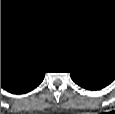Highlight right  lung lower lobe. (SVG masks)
<instances>
[{"instance_id": "1", "label": "right lung lower lobe", "mask_w": 115, "mask_h": 114, "mask_svg": "<svg viewBox=\"0 0 115 114\" xmlns=\"http://www.w3.org/2000/svg\"><path fill=\"white\" fill-rule=\"evenodd\" d=\"M48 67L43 59L1 57V88L12 94L28 93L43 81Z\"/></svg>"}]
</instances>
